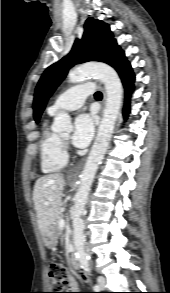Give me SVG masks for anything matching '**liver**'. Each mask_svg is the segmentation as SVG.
<instances>
[{
	"label": "liver",
	"instance_id": "obj_1",
	"mask_svg": "<svg viewBox=\"0 0 170 293\" xmlns=\"http://www.w3.org/2000/svg\"><path fill=\"white\" fill-rule=\"evenodd\" d=\"M64 185V176L61 173L42 176L35 182L33 202L42 236L51 229V225L61 210Z\"/></svg>",
	"mask_w": 170,
	"mask_h": 293
}]
</instances>
